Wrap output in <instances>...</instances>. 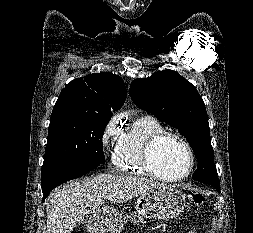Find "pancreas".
Instances as JSON below:
<instances>
[{"instance_id":"cf45deb5","label":"pancreas","mask_w":253,"mask_h":233,"mask_svg":"<svg viewBox=\"0 0 253 233\" xmlns=\"http://www.w3.org/2000/svg\"><path fill=\"white\" fill-rule=\"evenodd\" d=\"M136 217L138 218V222H140V223H143V222H144V219H143L141 216L133 215V213H131L129 216L127 215V216H126V219L130 218V219H132L133 221H136Z\"/></svg>"}]
</instances>
